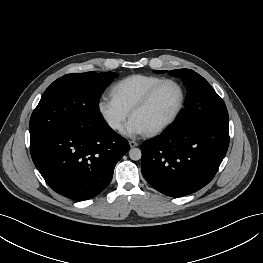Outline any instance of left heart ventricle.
Returning a JSON list of instances; mask_svg holds the SVG:
<instances>
[{
    "label": "left heart ventricle",
    "mask_w": 263,
    "mask_h": 263,
    "mask_svg": "<svg viewBox=\"0 0 263 263\" xmlns=\"http://www.w3.org/2000/svg\"><path fill=\"white\" fill-rule=\"evenodd\" d=\"M180 101V91L172 83H166L155 93L151 101L133 114L146 131L166 121L176 110Z\"/></svg>",
    "instance_id": "left-heart-ventricle-1"
}]
</instances>
